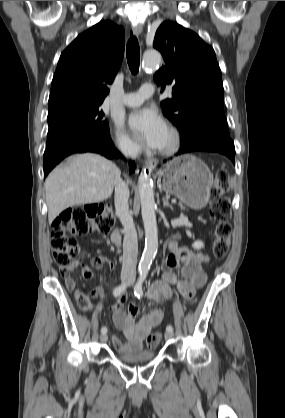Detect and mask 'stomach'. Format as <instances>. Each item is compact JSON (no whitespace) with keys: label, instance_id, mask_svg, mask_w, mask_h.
I'll return each mask as SVG.
<instances>
[{"label":"stomach","instance_id":"stomach-1","mask_svg":"<svg viewBox=\"0 0 285 418\" xmlns=\"http://www.w3.org/2000/svg\"><path fill=\"white\" fill-rule=\"evenodd\" d=\"M160 188L175 195L193 209H202L210 199L212 173L208 166L191 154L178 156L158 171Z\"/></svg>","mask_w":285,"mask_h":418}]
</instances>
